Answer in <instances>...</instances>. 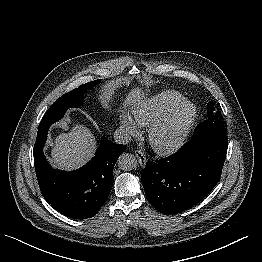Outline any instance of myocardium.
I'll return each instance as SVG.
<instances>
[{
	"mask_svg": "<svg viewBox=\"0 0 262 262\" xmlns=\"http://www.w3.org/2000/svg\"><path fill=\"white\" fill-rule=\"evenodd\" d=\"M187 111L183 123L177 129L173 140L166 144L161 145L157 140V135L182 112ZM197 116V107L190 100H183L164 115H162L157 121H155L149 128L148 139L149 143L156 153L159 155L167 156L175 153L186 141V138L194 124Z\"/></svg>",
	"mask_w": 262,
	"mask_h": 262,
	"instance_id": "f54148a6",
	"label": "myocardium"
}]
</instances>
